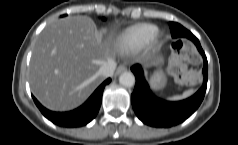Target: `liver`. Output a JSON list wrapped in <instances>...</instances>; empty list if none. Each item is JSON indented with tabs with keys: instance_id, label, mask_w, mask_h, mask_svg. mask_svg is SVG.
Listing matches in <instances>:
<instances>
[{
	"instance_id": "obj_1",
	"label": "liver",
	"mask_w": 238,
	"mask_h": 145,
	"mask_svg": "<svg viewBox=\"0 0 238 145\" xmlns=\"http://www.w3.org/2000/svg\"><path fill=\"white\" fill-rule=\"evenodd\" d=\"M119 51L114 32L98 30L91 18L59 19L36 40L29 67L31 90L50 110H72L103 81L100 67L114 61ZM145 63L155 62L149 57Z\"/></svg>"
}]
</instances>
